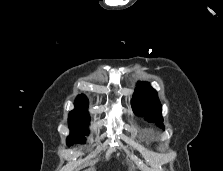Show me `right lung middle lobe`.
<instances>
[{
	"instance_id": "obj_1",
	"label": "right lung middle lobe",
	"mask_w": 223,
	"mask_h": 171,
	"mask_svg": "<svg viewBox=\"0 0 223 171\" xmlns=\"http://www.w3.org/2000/svg\"><path fill=\"white\" fill-rule=\"evenodd\" d=\"M68 120L70 135L67 138V144L84 143L86 140L84 136L88 134L87 127L90 121L87 109H75L71 111Z\"/></svg>"
}]
</instances>
